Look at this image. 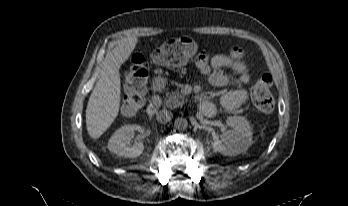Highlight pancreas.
Returning <instances> with one entry per match:
<instances>
[{"instance_id": "1", "label": "pancreas", "mask_w": 348, "mask_h": 206, "mask_svg": "<svg viewBox=\"0 0 348 206\" xmlns=\"http://www.w3.org/2000/svg\"><path fill=\"white\" fill-rule=\"evenodd\" d=\"M185 103L184 96L179 91H171L164 98V105L169 108H177Z\"/></svg>"}]
</instances>
